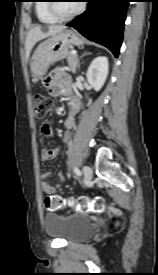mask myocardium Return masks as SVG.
Segmentation results:
<instances>
[{"label":"myocardium","instance_id":"f54148a6","mask_svg":"<svg viewBox=\"0 0 158 275\" xmlns=\"http://www.w3.org/2000/svg\"><path fill=\"white\" fill-rule=\"evenodd\" d=\"M50 2H55V1H50ZM49 7V11L51 12V14L58 20H69L74 18L75 16L79 15L83 10H84V4H80L73 12H71L70 14H62L58 8V4L57 3H49L48 4Z\"/></svg>","mask_w":158,"mask_h":275}]
</instances>
